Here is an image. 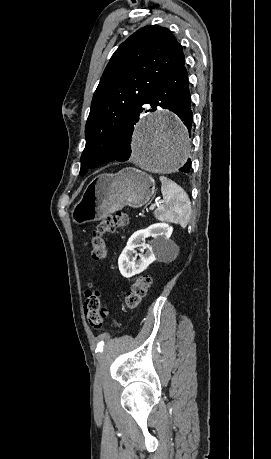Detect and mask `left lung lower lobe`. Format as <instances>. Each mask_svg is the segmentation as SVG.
<instances>
[{
    "label": "left lung lower lobe",
    "instance_id": "left-lung-lower-lobe-1",
    "mask_svg": "<svg viewBox=\"0 0 271 459\" xmlns=\"http://www.w3.org/2000/svg\"><path fill=\"white\" fill-rule=\"evenodd\" d=\"M146 104L151 105V110L155 111L157 106L162 108H167L176 113L179 118L184 122L185 126L191 133L192 126V111H191V101H190V91L188 84V72L185 67H181L174 74L168 77L165 81L159 84L148 96ZM138 120H136L124 133L122 139L124 143V149L112 161L124 162L130 158L131 155V137L134 130V125ZM111 162V161H110ZM191 166V161L188 159L186 164L179 169L182 172H189Z\"/></svg>",
    "mask_w": 271,
    "mask_h": 459
}]
</instances>
